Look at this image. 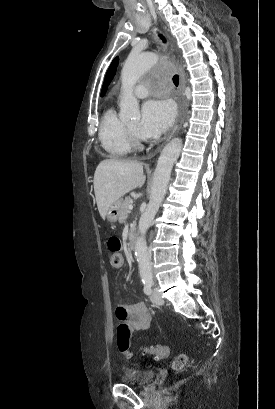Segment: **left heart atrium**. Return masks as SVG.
Listing matches in <instances>:
<instances>
[{"label": "left heart atrium", "mask_w": 275, "mask_h": 409, "mask_svg": "<svg viewBox=\"0 0 275 409\" xmlns=\"http://www.w3.org/2000/svg\"><path fill=\"white\" fill-rule=\"evenodd\" d=\"M174 118V108L169 101L149 100L142 109L139 134L144 138H156L168 129Z\"/></svg>", "instance_id": "1"}]
</instances>
